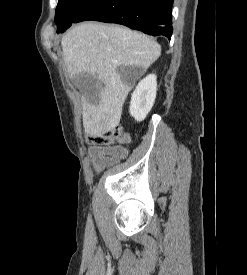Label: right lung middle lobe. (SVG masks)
Returning <instances> with one entry per match:
<instances>
[{"instance_id":"obj_1","label":"right lung middle lobe","mask_w":247,"mask_h":275,"mask_svg":"<svg viewBox=\"0 0 247 275\" xmlns=\"http://www.w3.org/2000/svg\"><path fill=\"white\" fill-rule=\"evenodd\" d=\"M99 0H59L55 13L57 33L64 32L90 6Z\"/></svg>"}]
</instances>
